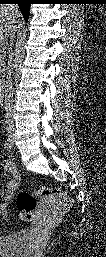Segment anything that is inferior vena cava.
<instances>
[{
    "label": "inferior vena cava",
    "instance_id": "602c4592",
    "mask_svg": "<svg viewBox=\"0 0 106 257\" xmlns=\"http://www.w3.org/2000/svg\"><path fill=\"white\" fill-rule=\"evenodd\" d=\"M15 28L12 29L10 32V48H8V55L9 57L12 56V48L11 46L14 44V38H15ZM3 56H5V52H3ZM3 70L6 71V84H5V90H4V109H5V124L7 126L8 130H11L14 128V120H13V111H14V105H13V83L11 78V70L12 66L11 63L8 62V67L3 66Z\"/></svg>",
    "mask_w": 106,
    "mask_h": 257
}]
</instances>
